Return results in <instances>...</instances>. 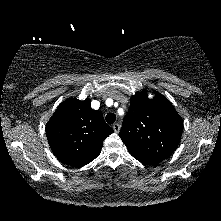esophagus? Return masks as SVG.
Masks as SVG:
<instances>
[{"mask_svg": "<svg viewBox=\"0 0 221 221\" xmlns=\"http://www.w3.org/2000/svg\"><path fill=\"white\" fill-rule=\"evenodd\" d=\"M112 128L115 133H118L120 131V125L118 123L113 124Z\"/></svg>", "mask_w": 221, "mask_h": 221, "instance_id": "obj_1", "label": "esophagus"}]
</instances>
